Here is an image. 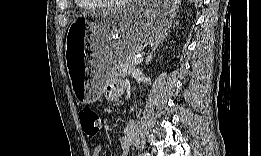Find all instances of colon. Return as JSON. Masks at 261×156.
<instances>
[{"instance_id": "obj_1", "label": "colon", "mask_w": 261, "mask_h": 156, "mask_svg": "<svg viewBox=\"0 0 261 156\" xmlns=\"http://www.w3.org/2000/svg\"><path fill=\"white\" fill-rule=\"evenodd\" d=\"M78 115L82 130L86 137L89 139L95 138L101 126L99 114L90 107H82L79 110Z\"/></svg>"}]
</instances>
